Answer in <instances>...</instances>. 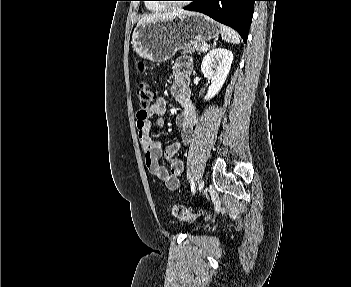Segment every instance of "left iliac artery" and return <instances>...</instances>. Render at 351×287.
<instances>
[{
  "label": "left iliac artery",
  "mask_w": 351,
  "mask_h": 287,
  "mask_svg": "<svg viewBox=\"0 0 351 287\" xmlns=\"http://www.w3.org/2000/svg\"><path fill=\"white\" fill-rule=\"evenodd\" d=\"M195 190H196L195 183H194L193 179H191V191L193 194L195 193Z\"/></svg>",
  "instance_id": "44dca946"
}]
</instances>
